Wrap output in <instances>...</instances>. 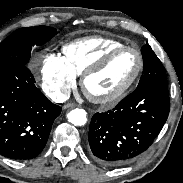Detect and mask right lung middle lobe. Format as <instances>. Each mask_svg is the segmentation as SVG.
<instances>
[{
  "mask_svg": "<svg viewBox=\"0 0 183 183\" xmlns=\"http://www.w3.org/2000/svg\"><path fill=\"white\" fill-rule=\"evenodd\" d=\"M56 29L47 26L21 28L0 44V69L27 65L31 50L56 35Z\"/></svg>",
  "mask_w": 183,
  "mask_h": 183,
  "instance_id": "1",
  "label": "right lung middle lobe"
}]
</instances>
